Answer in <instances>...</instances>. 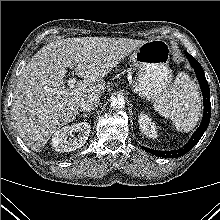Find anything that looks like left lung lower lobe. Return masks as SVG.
Here are the masks:
<instances>
[{
  "label": "left lung lower lobe",
  "mask_w": 220,
  "mask_h": 220,
  "mask_svg": "<svg viewBox=\"0 0 220 220\" xmlns=\"http://www.w3.org/2000/svg\"><path fill=\"white\" fill-rule=\"evenodd\" d=\"M186 56L195 70L196 76L198 78L202 90V95L204 100V114H203L202 123L199 126V128L194 132L188 143L179 150L157 151L143 147L145 151H148L149 153L155 156L164 157V158H176L186 154L198 143V141L202 137L203 133L206 131L210 122L211 103H210V90H209L208 82L205 78V74L200 63L187 52H186Z\"/></svg>",
  "instance_id": "0a47b994"
}]
</instances>
